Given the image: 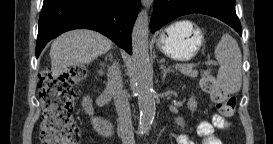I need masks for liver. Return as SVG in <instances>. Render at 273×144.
I'll use <instances>...</instances> for the list:
<instances>
[{
	"mask_svg": "<svg viewBox=\"0 0 273 144\" xmlns=\"http://www.w3.org/2000/svg\"><path fill=\"white\" fill-rule=\"evenodd\" d=\"M112 48V41L96 31L77 29L62 34L51 45V72L53 78L69 67L88 64Z\"/></svg>",
	"mask_w": 273,
	"mask_h": 144,
	"instance_id": "1",
	"label": "liver"
}]
</instances>
